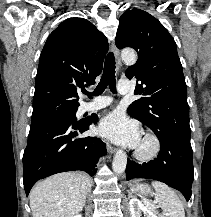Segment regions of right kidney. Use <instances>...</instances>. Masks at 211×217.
Returning <instances> with one entry per match:
<instances>
[{"mask_svg": "<svg viewBox=\"0 0 211 217\" xmlns=\"http://www.w3.org/2000/svg\"><path fill=\"white\" fill-rule=\"evenodd\" d=\"M73 217H82V215L81 214H77V215H75Z\"/></svg>", "mask_w": 211, "mask_h": 217, "instance_id": "1", "label": "right kidney"}]
</instances>
